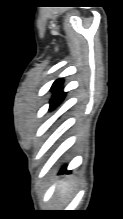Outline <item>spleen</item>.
Returning <instances> with one entry per match:
<instances>
[{
    "mask_svg": "<svg viewBox=\"0 0 123 219\" xmlns=\"http://www.w3.org/2000/svg\"><path fill=\"white\" fill-rule=\"evenodd\" d=\"M71 190H72V185L68 182H62L59 185V191H60L62 196L67 195L68 192H70Z\"/></svg>",
    "mask_w": 123,
    "mask_h": 219,
    "instance_id": "3e777b00",
    "label": "spleen"
}]
</instances>
